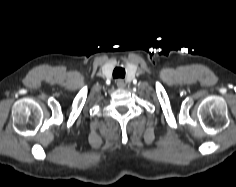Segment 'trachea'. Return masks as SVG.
I'll use <instances>...</instances> for the list:
<instances>
[{"label":"trachea","instance_id":"obj_1","mask_svg":"<svg viewBox=\"0 0 236 187\" xmlns=\"http://www.w3.org/2000/svg\"><path fill=\"white\" fill-rule=\"evenodd\" d=\"M125 77V69L122 67H116L113 70V78H124Z\"/></svg>","mask_w":236,"mask_h":187}]
</instances>
